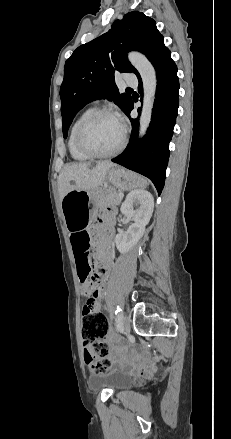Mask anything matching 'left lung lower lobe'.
<instances>
[{"mask_svg":"<svg viewBox=\"0 0 231 439\" xmlns=\"http://www.w3.org/2000/svg\"><path fill=\"white\" fill-rule=\"evenodd\" d=\"M158 78L156 100L153 107L150 127L140 142L138 137L139 120L132 119L130 112L134 107L131 99L124 113L132 124L130 143L123 153L112 162L148 177L161 194L165 183V172L170 155L169 142L173 135L177 110L179 106V81L177 67L171 59V52L166 48L154 61ZM138 92L143 94L140 77ZM142 100V99H141ZM141 108H138L140 115Z\"/></svg>","mask_w":231,"mask_h":439,"instance_id":"1","label":"left lung lower lobe"}]
</instances>
